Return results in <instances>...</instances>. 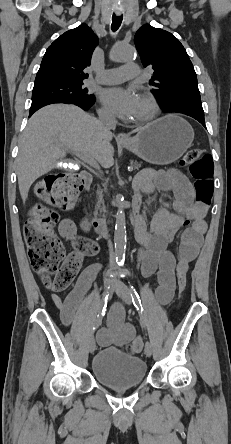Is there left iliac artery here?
Here are the masks:
<instances>
[{"instance_id":"1","label":"left iliac artery","mask_w":231,"mask_h":444,"mask_svg":"<svg viewBox=\"0 0 231 444\" xmlns=\"http://www.w3.org/2000/svg\"><path fill=\"white\" fill-rule=\"evenodd\" d=\"M128 283H129V288H130V294L132 297V302L140 315L141 324L145 328L146 322H145V317H144V313H143L144 309H143L140 297H139L138 293L136 292L135 288L133 287V285H131L130 282H128Z\"/></svg>"}]
</instances>
